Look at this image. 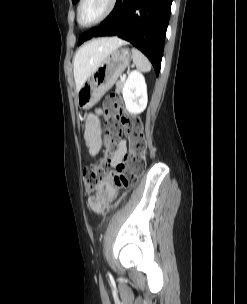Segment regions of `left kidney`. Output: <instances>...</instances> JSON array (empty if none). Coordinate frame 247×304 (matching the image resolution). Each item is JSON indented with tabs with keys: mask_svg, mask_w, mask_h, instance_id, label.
I'll use <instances>...</instances> for the list:
<instances>
[{
	"mask_svg": "<svg viewBox=\"0 0 247 304\" xmlns=\"http://www.w3.org/2000/svg\"><path fill=\"white\" fill-rule=\"evenodd\" d=\"M123 98L129 113H142L147 106V86L139 71H132L123 87Z\"/></svg>",
	"mask_w": 247,
	"mask_h": 304,
	"instance_id": "1",
	"label": "left kidney"
}]
</instances>
